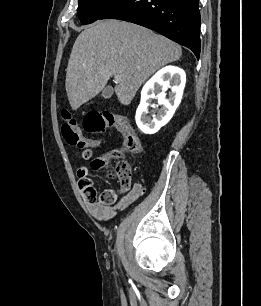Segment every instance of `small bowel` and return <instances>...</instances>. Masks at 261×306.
Returning a JSON list of instances; mask_svg holds the SVG:
<instances>
[{"mask_svg": "<svg viewBox=\"0 0 261 306\" xmlns=\"http://www.w3.org/2000/svg\"><path fill=\"white\" fill-rule=\"evenodd\" d=\"M99 145L98 140L92 141V147H96ZM91 152L84 153V158L89 157ZM86 173L88 175V169L84 166L78 168L77 174L78 177L81 176L82 173ZM124 190V189H123ZM144 192V189L141 184L134 183L128 191L115 203L112 205H105L100 202L91 203L87 200V194L82 191V196L87 202L88 209L90 213L100 221H109L113 219L116 214L120 211L125 210L128 206H130L133 202H135Z\"/></svg>", "mask_w": 261, "mask_h": 306, "instance_id": "obj_1", "label": "small bowel"}]
</instances>
